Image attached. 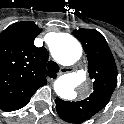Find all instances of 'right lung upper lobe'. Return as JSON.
Returning <instances> with one entry per match:
<instances>
[{
	"mask_svg": "<svg viewBox=\"0 0 124 124\" xmlns=\"http://www.w3.org/2000/svg\"><path fill=\"white\" fill-rule=\"evenodd\" d=\"M41 29L33 21L12 24L0 33V109L24 107L35 91L56 74L47 71L48 52L36 47Z\"/></svg>",
	"mask_w": 124,
	"mask_h": 124,
	"instance_id": "1",
	"label": "right lung upper lobe"
}]
</instances>
